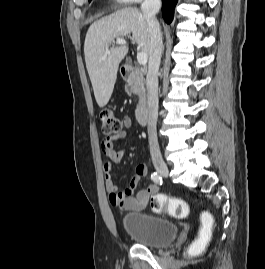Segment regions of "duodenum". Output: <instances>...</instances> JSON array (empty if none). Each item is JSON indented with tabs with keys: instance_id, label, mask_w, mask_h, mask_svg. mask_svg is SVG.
Here are the masks:
<instances>
[{
	"instance_id": "obj_1",
	"label": "duodenum",
	"mask_w": 265,
	"mask_h": 269,
	"mask_svg": "<svg viewBox=\"0 0 265 269\" xmlns=\"http://www.w3.org/2000/svg\"><path fill=\"white\" fill-rule=\"evenodd\" d=\"M123 78L138 91L140 103L136 108L135 117L139 124L144 125L148 119V93L144 87L143 73L131 65H126L122 68Z\"/></svg>"
}]
</instances>
